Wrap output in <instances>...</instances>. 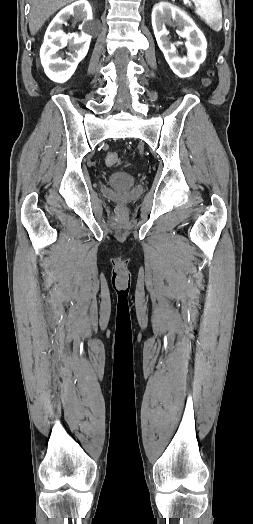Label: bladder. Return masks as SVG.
I'll return each instance as SVG.
<instances>
[{
    "label": "bladder",
    "mask_w": 253,
    "mask_h": 524,
    "mask_svg": "<svg viewBox=\"0 0 253 524\" xmlns=\"http://www.w3.org/2000/svg\"><path fill=\"white\" fill-rule=\"evenodd\" d=\"M109 184L118 189L132 187L135 184V178L127 173H114L110 176Z\"/></svg>",
    "instance_id": "31cf9c89"
}]
</instances>
